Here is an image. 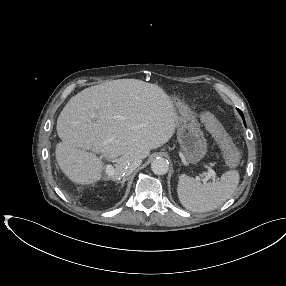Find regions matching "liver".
Returning <instances> with one entry per match:
<instances>
[{"label":"liver","mask_w":286,"mask_h":286,"mask_svg":"<svg viewBox=\"0 0 286 286\" xmlns=\"http://www.w3.org/2000/svg\"><path fill=\"white\" fill-rule=\"evenodd\" d=\"M176 124L173 101L157 84L117 79L91 86L71 97L57 119L56 161L69 180L89 185L101 179L103 163L87 150L120 157L110 176L116 180L129 159H145L167 143Z\"/></svg>","instance_id":"liver-1"}]
</instances>
